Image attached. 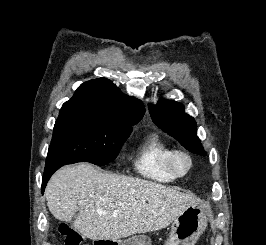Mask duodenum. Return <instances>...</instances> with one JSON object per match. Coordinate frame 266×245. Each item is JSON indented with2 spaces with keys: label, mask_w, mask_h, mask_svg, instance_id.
Instances as JSON below:
<instances>
[{
  "label": "duodenum",
  "mask_w": 266,
  "mask_h": 245,
  "mask_svg": "<svg viewBox=\"0 0 266 245\" xmlns=\"http://www.w3.org/2000/svg\"><path fill=\"white\" fill-rule=\"evenodd\" d=\"M116 242V237H95L94 245H112Z\"/></svg>",
  "instance_id": "duodenum-1"
}]
</instances>
